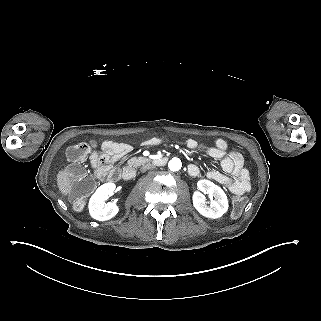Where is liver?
<instances>
[{
	"mask_svg": "<svg viewBox=\"0 0 321 321\" xmlns=\"http://www.w3.org/2000/svg\"><path fill=\"white\" fill-rule=\"evenodd\" d=\"M74 175L67 170L59 171L57 174V185L59 190L67 195L72 191Z\"/></svg>",
	"mask_w": 321,
	"mask_h": 321,
	"instance_id": "obj_1",
	"label": "liver"
}]
</instances>
